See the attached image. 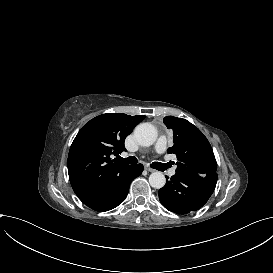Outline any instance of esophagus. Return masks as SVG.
<instances>
[{
	"label": "esophagus",
	"instance_id": "34e87169",
	"mask_svg": "<svg viewBox=\"0 0 273 273\" xmlns=\"http://www.w3.org/2000/svg\"><path fill=\"white\" fill-rule=\"evenodd\" d=\"M145 170L148 172H155L156 171L155 169L149 168L147 166H145Z\"/></svg>",
	"mask_w": 273,
	"mask_h": 273
}]
</instances>
